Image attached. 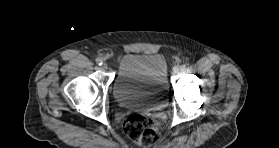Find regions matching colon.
<instances>
[{"mask_svg": "<svg viewBox=\"0 0 279 148\" xmlns=\"http://www.w3.org/2000/svg\"><path fill=\"white\" fill-rule=\"evenodd\" d=\"M127 137L135 144L148 148L160 139V125L152 117L143 114H131L123 121Z\"/></svg>", "mask_w": 279, "mask_h": 148, "instance_id": "obj_1", "label": "colon"}]
</instances>
